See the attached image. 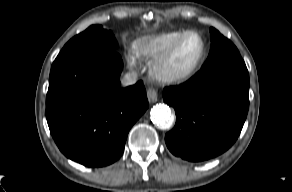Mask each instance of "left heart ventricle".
<instances>
[{"mask_svg": "<svg viewBox=\"0 0 292 192\" xmlns=\"http://www.w3.org/2000/svg\"><path fill=\"white\" fill-rule=\"evenodd\" d=\"M202 51L200 39L195 35L188 36L180 45L171 68L174 71H184L190 68L198 59Z\"/></svg>", "mask_w": 292, "mask_h": 192, "instance_id": "left-heart-ventricle-1", "label": "left heart ventricle"}]
</instances>
